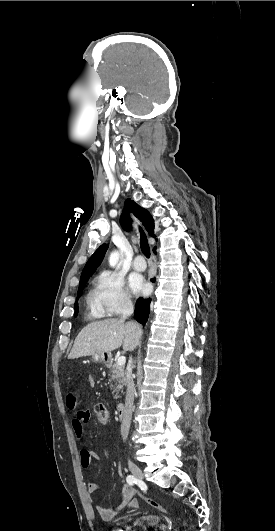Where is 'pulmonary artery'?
<instances>
[{
  "mask_svg": "<svg viewBox=\"0 0 275 531\" xmlns=\"http://www.w3.org/2000/svg\"><path fill=\"white\" fill-rule=\"evenodd\" d=\"M132 266L137 271H143V270L146 269L147 264H146V262L144 260V257L142 255H138L134 259Z\"/></svg>",
  "mask_w": 275,
  "mask_h": 531,
  "instance_id": "pulmonary-artery-1",
  "label": "pulmonary artery"
}]
</instances>
